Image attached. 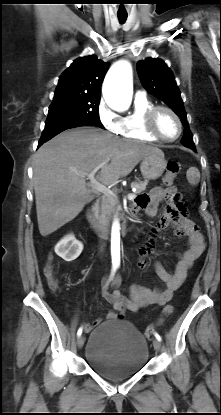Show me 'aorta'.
<instances>
[{
  "instance_id": "762f6f07",
  "label": "aorta",
  "mask_w": 221,
  "mask_h": 415,
  "mask_svg": "<svg viewBox=\"0 0 221 415\" xmlns=\"http://www.w3.org/2000/svg\"><path fill=\"white\" fill-rule=\"evenodd\" d=\"M132 67L128 61L115 63L108 71L103 83V97L108 106L116 111H126L132 102ZM112 263H120V222L116 218L111 229Z\"/></svg>"
}]
</instances>
